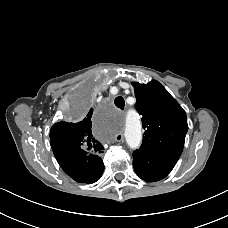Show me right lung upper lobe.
Returning <instances> with one entry per match:
<instances>
[{
	"label": "right lung upper lobe",
	"mask_w": 228,
	"mask_h": 228,
	"mask_svg": "<svg viewBox=\"0 0 228 228\" xmlns=\"http://www.w3.org/2000/svg\"><path fill=\"white\" fill-rule=\"evenodd\" d=\"M92 111L79 122L61 121L54 124L50 130V144L57 158L70 154H78L80 160L76 163L78 169L91 167L93 163L84 161L86 156L99 155L104 147L92 134ZM93 162V161H92Z\"/></svg>",
	"instance_id": "1"
}]
</instances>
